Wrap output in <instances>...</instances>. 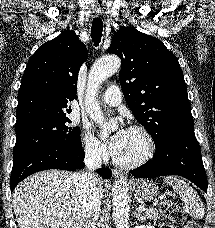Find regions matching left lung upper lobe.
<instances>
[{"instance_id": "obj_1", "label": "left lung upper lobe", "mask_w": 215, "mask_h": 228, "mask_svg": "<svg viewBox=\"0 0 215 228\" xmlns=\"http://www.w3.org/2000/svg\"><path fill=\"white\" fill-rule=\"evenodd\" d=\"M108 52L121 58L119 80L127 105L155 145L173 133L194 129L182 69L159 39L123 27Z\"/></svg>"}]
</instances>
